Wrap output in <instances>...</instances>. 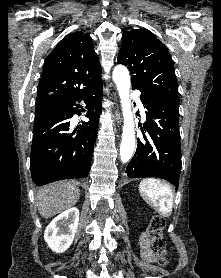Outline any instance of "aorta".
I'll return each instance as SVG.
<instances>
[{"instance_id":"obj_1","label":"aorta","mask_w":221,"mask_h":278,"mask_svg":"<svg viewBox=\"0 0 221 278\" xmlns=\"http://www.w3.org/2000/svg\"><path fill=\"white\" fill-rule=\"evenodd\" d=\"M113 80L118 89L124 119L120 159L123 163H126L132 157L135 148V125L131 111L129 95L130 76L128 69L123 65H117L113 70Z\"/></svg>"}]
</instances>
